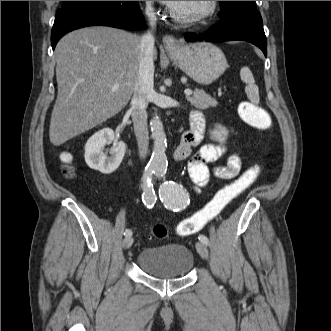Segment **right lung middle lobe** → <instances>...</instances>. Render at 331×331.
<instances>
[{
  "label": "right lung middle lobe",
  "instance_id": "dd1d6c3e",
  "mask_svg": "<svg viewBox=\"0 0 331 331\" xmlns=\"http://www.w3.org/2000/svg\"><path fill=\"white\" fill-rule=\"evenodd\" d=\"M84 2H88V1H63L62 8L70 7L75 4L84 3Z\"/></svg>",
  "mask_w": 331,
  "mask_h": 331
}]
</instances>
